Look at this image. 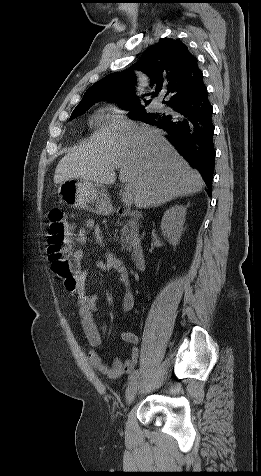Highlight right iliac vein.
<instances>
[{
	"label": "right iliac vein",
	"instance_id": "right-iliac-vein-1",
	"mask_svg": "<svg viewBox=\"0 0 261 476\" xmlns=\"http://www.w3.org/2000/svg\"><path fill=\"white\" fill-rule=\"evenodd\" d=\"M139 383H140V379L138 378H135L129 383L126 389V402L128 405H130L132 401L134 400L137 390L139 388Z\"/></svg>",
	"mask_w": 261,
	"mask_h": 476
}]
</instances>
